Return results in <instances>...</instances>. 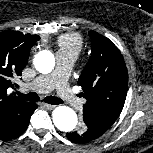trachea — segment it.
Listing matches in <instances>:
<instances>
[{
    "instance_id": "trachea-1",
    "label": "trachea",
    "mask_w": 153,
    "mask_h": 153,
    "mask_svg": "<svg viewBox=\"0 0 153 153\" xmlns=\"http://www.w3.org/2000/svg\"><path fill=\"white\" fill-rule=\"evenodd\" d=\"M17 95L27 101H31V102H38L40 100L39 96L35 93V92H30L28 94H23L20 92H17ZM44 102L48 103V104H52V105H58V104H62L63 101L55 96H47L43 99Z\"/></svg>"
}]
</instances>
